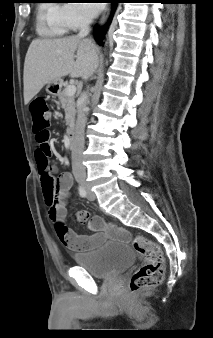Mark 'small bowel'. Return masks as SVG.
Returning <instances> with one entry per match:
<instances>
[{
	"instance_id": "small-bowel-1",
	"label": "small bowel",
	"mask_w": 213,
	"mask_h": 338,
	"mask_svg": "<svg viewBox=\"0 0 213 338\" xmlns=\"http://www.w3.org/2000/svg\"><path fill=\"white\" fill-rule=\"evenodd\" d=\"M39 148L44 152H48L52 155L51 147L48 143L39 144ZM72 184V177L69 173H60L57 178V191L59 194V201L56 204V221L63 225L67 217L66 202L70 196V188ZM77 220L81 223H89V213L84 210H77L75 214ZM95 221L103 224V219L99 216L94 217ZM90 224V223H89ZM63 227V226H62ZM65 228V227H63ZM91 228V225H90ZM92 229V228H91ZM92 235H83L74 232L71 229L65 228V232L58 233L59 240L71 251L74 252H87L93 250L96 245L106 239L107 237H114L119 240L128 239L129 234L123 228H116L113 231V227L108 230H104L103 227L100 229H93Z\"/></svg>"
}]
</instances>
